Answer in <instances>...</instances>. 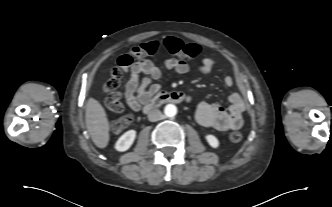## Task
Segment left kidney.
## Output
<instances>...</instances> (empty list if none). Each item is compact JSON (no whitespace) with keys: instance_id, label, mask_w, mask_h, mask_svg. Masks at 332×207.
<instances>
[{"instance_id":"5707ae66","label":"left kidney","mask_w":332,"mask_h":207,"mask_svg":"<svg viewBox=\"0 0 332 207\" xmlns=\"http://www.w3.org/2000/svg\"><path fill=\"white\" fill-rule=\"evenodd\" d=\"M205 139L212 148H218L219 141L214 135H206Z\"/></svg>"}]
</instances>
